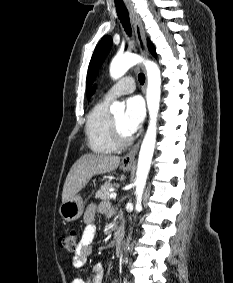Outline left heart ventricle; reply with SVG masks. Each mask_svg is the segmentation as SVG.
<instances>
[{
	"label": "left heart ventricle",
	"mask_w": 233,
	"mask_h": 283,
	"mask_svg": "<svg viewBox=\"0 0 233 283\" xmlns=\"http://www.w3.org/2000/svg\"><path fill=\"white\" fill-rule=\"evenodd\" d=\"M124 116H125V113L124 112H120V113L116 114L114 116V118L116 120L117 126H118L119 131L121 132V134L123 136H128L130 134L125 130V127H124Z\"/></svg>",
	"instance_id": "obj_1"
}]
</instances>
